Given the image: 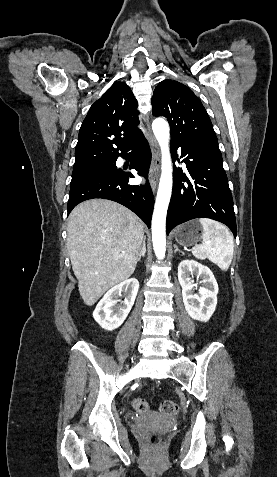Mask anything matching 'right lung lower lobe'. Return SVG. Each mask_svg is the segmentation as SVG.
I'll return each mask as SVG.
<instances>
[{"mask_svg": "<svg viewBox=\"0 0 277 477\" xmlns=\"http://www.w3.org/2000/svg\"><path fill=\"white\" fill-rule=\"evenodd\" d=\"M130 150L131 152L128 153ZM128 151L120 156L123 158L131 157L130 168H134L138 175L146 177L151 162V152L145 137L133 144ZM118 157L111 161L114 165L113 169L101 171L70 186L68 214L82 201L104 198L126 206L150 228L154 206L150 185L148 181L145 185H129L128 179L133 175L116 167L115 162Z\"/></svg>", "mask_w": 277, "mask_h": 477, "instance_id": "98d812e1", "label": "right lung lower lobe"}]
</instances>
